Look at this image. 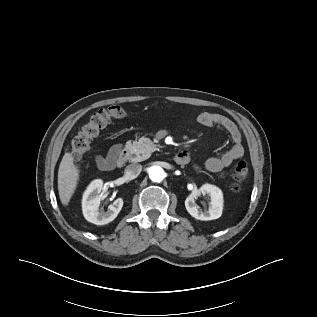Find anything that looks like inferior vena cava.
I'll list each match as a JSON object with an SVG mask.
<instances>
[{
    "label": "inferior vena cava",
    "mask_w": 317,
    "mask_h": 317,
    "mask_svg": "<svg viewBox=\"0 0 317 317\" xmlns=\"http://www.w3.org/2000/svg\"><path fill=\"white\" fill-rule=\"evenodd\" d=\"M141 171L142 165L138 163H133L125 168V175L130 179H134L140 174Z\"/></svg>",
    "instance_id": "obj_1"
}]
</instances>
